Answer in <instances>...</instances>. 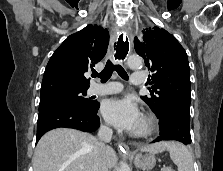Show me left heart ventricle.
Masks as SVG:
<instances>
[{"mask_svg":"<svg viewBox=\"0 0 223 171\" xmlns=\"http://www.w3.org/2000/svg\"><path fill=\"white\" fill-rule=\"evenodd\" d=\"M140 128H141V121H140L139 126L137 127V129L135 131L139 130Z\"/></svg>","mask_w":223,"mask_h":171,"instance_id":"obj_1","label":"left heart ventricle"}]
</instances>
